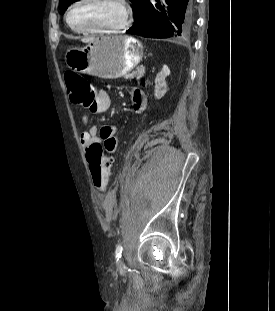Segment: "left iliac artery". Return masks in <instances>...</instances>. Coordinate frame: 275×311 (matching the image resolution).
Listing matches in <instances>:
<instances>
[{
    "label": "left iliac artery",
    "instance_id": "obj_1",
    "mask_svg": "<svg viewBox=\"0 0 275 311\" xmlns=\"http://www.w3.org/2000/svg\"><path fill=\"white\" fill-rule=\"evenodd\" d=\"M121 253H122V246L118 245L115 251L117 260L121 257Z\"/></svg>",
    "mask_w": 275,
    "mask_h": 311
}]
</instances>
